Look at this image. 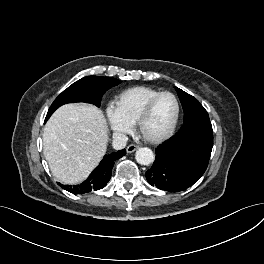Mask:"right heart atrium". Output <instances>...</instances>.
Returning a JSON list of instances; mask_svg holds the SVG:
<instances>
[{
	"instance_id": "right-heart-atrium-1",
	"label": "right heart atrium",
	"mask_w": 264,
	"mask_h": 264,
	"mask_svg": "<svg viewBox=\"0 0 264 264\" xmlns=\"http://www.w3.org/2000/svg\"><path fill=\"white\" fill-rule=\"evenodd\" d=\"M106 114L109 125L115 134L123 135L131 130L132 124L120 115L114 105L107 107Z\"/></svg>"
}]
</instances>
